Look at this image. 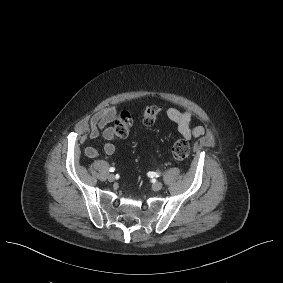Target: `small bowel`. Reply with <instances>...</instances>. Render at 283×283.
I'll list each match as a JSON object with an SVG mask.
<instances>
[{"instance_id":"c3829d8e","label":"small bowel","mask_w":283,"mask_h":283,"mask_svg":"<svg viewBox=\"0 0 283 283\" xmlns=\"http://www.w3.org/2000/svg\"><path fill=\"white\" fill-rule=\"evenodd\" d=\"M117 111L113 106L103 108L96 112L89 120V138L94 140L99 136L105 139L103 151L107 155L115 153L116 147L113 143L115 139L114 128L109 126L115 117ZM167 117L175 123L177 130L185 139H193L204 135L205 128L203 126H191L192 114L189 110H181L177 108H169L166 112ZM85 154L88 158L94 159L99 155L95 147H87Z\"/></svg>"}]
</instances>
